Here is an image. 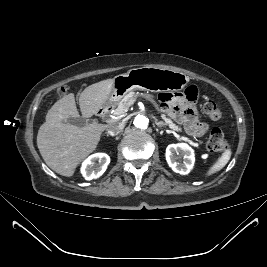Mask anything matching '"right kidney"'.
Masks as SVG:
<instances>
[{"instance_id":"1","label":"right kidney","mask_w":267,"mask_h":267,"mask_svg":"<svg viewBox=\"0 0 267 267\" xmlns=\"http://www.w3.org/2000/svg\"><path fill=\"white\" fill-rule=\"evenodd\" d=\"M110 157L105 153H95L89 156L81 166V173L86 180L99 178L107 169Z\"/></svg>"}]
</instances>
